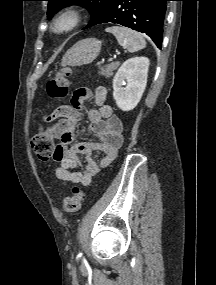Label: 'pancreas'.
Returning <instances> with one entry per match:
<instances>
[{"instance_id": "pancreas-1", "label": "pancreas", "mask_w": 216, "mask_h": 285, "mask_svg": "<svg viewBox=\"0 0 216 285\" xmlns=\"http://www.w3.org/2000/svg\"><path fill=\"white\" fill-rule=\"evenodd\" d=\"M120 62H112L111 64L101 67L99 74L105 78H110L113 76L114 71L119 67Z\"/></svg>"}]
</instances>
